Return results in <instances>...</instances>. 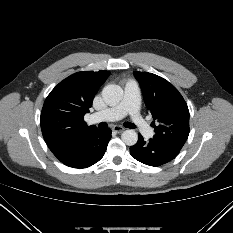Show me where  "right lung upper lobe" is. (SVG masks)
Segmentation results:
<instances>
[{
	"mask_svg": "<svg viewBox=\"0 0 233 233\" xmlns=\"http://www.w3.org/2000/svg\"><path fill=\"white\" fill-rule=\"evenodd\" d=\"M109 74V71L77 72L50 92L42 108L40 124L43 137L54 155L97 129L86 125L84 115L89 112L94 96Z\"/></svg>",
	"mask_w": 233,
	"mask_h": 233,
	"instance_id": "obj_1",
	"label": "right lung upper lobe"
}]
</instances>
